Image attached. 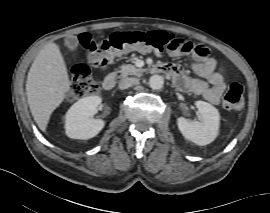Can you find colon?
I'll use <instances>...</instances> for the list:
<instances>
[{
  "mask_svg": "<svg viewBox=\"0 0 270 213\" xmlns=\"http://www.w3.org/2000/svg\"><path fill=\"white\" fill-rule=\"evenodd\" d=\"M78 43L86 49L89 62L93 65L110 63L123 52H141L160 54L165 48L171 53H193L198 58L207 55L208 50L199 43L178 38L161 30L133 33H113L99 35L82 33ZM99 86L90 70L78 65L72 70L70 98L77 100L94 94ZM244 91L239 83H231L223 97L222 106L226 110L240 109L243 106Z\"/></svg>",
  "mask_w": 270,
  "mask_h": 213,
  "instance_id": "1",
  "label": "colon"
}]
</instances>
